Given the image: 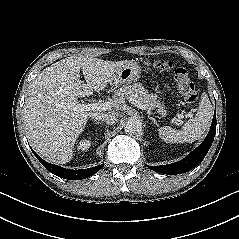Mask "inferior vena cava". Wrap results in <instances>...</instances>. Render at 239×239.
I'll return each instance as SVG.
<instances>
[{"label": "inferior vena cava", "instance_id": "obj_1", "mask_svg": "<svg viewBox=\"0 0 239 239\" xmlns=\"http://www.w3.org/2000/svg\"><path fill=\"white\" fill-rule=\"evenodd\" d=\"M92 119H95L98 121H104L110 125H112L116 122V117L112 114H94L92 116Z\"/></svg>", "mask_w": 239, "mask_h": 239}]
</instances>
